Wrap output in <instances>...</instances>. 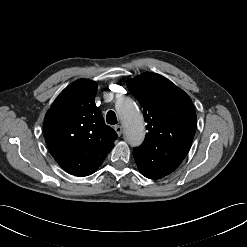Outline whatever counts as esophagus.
Segmentation results:
<instances>
[{"label":"esophagus","mask_w":247,"mask_h":247,"mask_svg":"<svg viewBox=\"0 0 247 247\" xmlns=\"http://www.w3.org/2000/svg\"><path fill=\"white\" fill-rule=\"evenodd\" d=\"M114 130L116 131L118 136H121V134H122V126L116 125V126H114Z\"/></svg>","instance_id":"34e87169"}]
</instances>
